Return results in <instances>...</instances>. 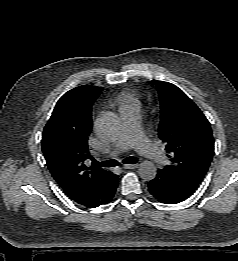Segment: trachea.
I'll return each instance as SVG.
<instances>
[{
  "label": "trachea",
  "instance_id": "3493384b",
  "mask_svg": "<svg viewBox=\"0 0 238 261\" xmlns=\"http://www.w3.org/2000/svg\"><path fill=\"white\" fill-rule=\"evenodd\" d=\"M137 161L138 160L136 157H127L123 160V163L124 164H135V163H137ZM93 163L95 166H101V167H106V168L115 167L118 165V161L114 160V159L106 160V161H102V162L94 160Z\"/></svg>",
  "mask_w": 238,
  "mask_h": 261
}]
</instances>
